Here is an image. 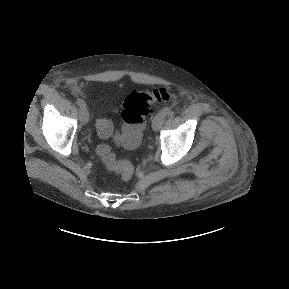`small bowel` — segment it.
Segmentation results:
<instances>
[{
  "label": "small bowel",
  "mask_w": 289,
  "mask_h": 289,
  "mask_svg": "<svg viewBox=\"0 0 289 289\" xmlns=\"http://www.w3.org/2000/svg\"><path fill=\"white\" fill-rule=\"evenodd\" d=\"M73 90H74L75 93L79 92L78 88H76V87H74Z\"/></svg>",
  "instance_id": "obj_1"
}]
</instances>
